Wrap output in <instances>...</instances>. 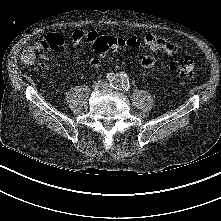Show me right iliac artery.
<instances>
[{"instance_id":"82829eb1","label":"right iliac artery","mask_w":221,"mask_h":221,"mask_svg":"<svg viewBox=\"0 0 221 221\" xmlns=\"http://www.w3.org/2000/svg\"><path fill=\"white\" fill-rule=\"evenodd\" d=\"M106 78L111 83V85H113L115 83V76L113 73L107 74Z\"/></svg>"}]
</instances>
